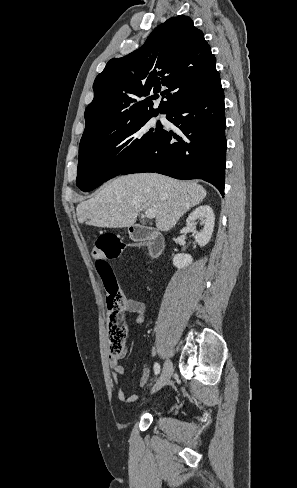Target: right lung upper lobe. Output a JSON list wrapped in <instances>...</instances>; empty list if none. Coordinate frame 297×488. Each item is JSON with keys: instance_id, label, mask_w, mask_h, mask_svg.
<instances>
[{"instance_id": "obj_1", "label": "right lung upper lobe", "mask_w": 297, "mask_h": 488, "mask_svg": "<svg viewBox=\"0 0 297 488\" xmlns=\"http://www.w3.org/2000/svg\"><path fill=\"white\" fill-rule=\"evenodd\" d=\"M219 77L203 33L190 17H172L158 26L142 47L111 59L96 77L81 139L104 135L158 112L168 114ZM162 90L167 100L153 109L151 100Z\"/></svg>"}]
</instances>
